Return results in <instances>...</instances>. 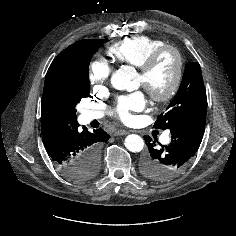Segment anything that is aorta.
Instances as JSON below:
<instances>
[{"mask_svg": "<svg viewBox=\"0 0 236 236\" xmlns=\"http://www.w3.org/2000/svg\"><path fill=\"white\" fill-rule=\"evenodd\" d=\"M135 70L130 66H122L111 77V84L117 90H132ZM125 147L131 152H140L144 147V140L136 134L128 135L125 139Z\"/></svg>", "mask_w": 236, "mask_h": 236, "instance_id": "obj_1", "label": "aorta"}]
</instances>
